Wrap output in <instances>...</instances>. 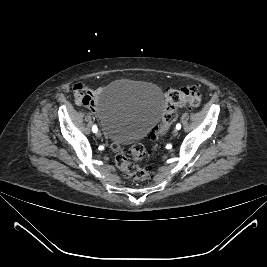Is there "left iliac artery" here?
I'll return each mask as SVG.
<instances>
[{"label":"left iliac artery","instance_id":"left-iliac-artery-1","mask_svg":"<svg viewBox=\"0 0 267 267\" xmlns=\"http://www.w3.org/2000/svg\"><path fill=\"white\" fill-rule=\"evenodd\" d=\"M180 128H181V124L178 123V124L176 125V129L179 130Z\"/></svg>","mask_w":267,"mask_h":267}]
</instances>
